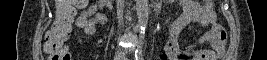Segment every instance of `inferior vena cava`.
Wrapping results in <instances>:
<instances>
[{"mask_svg": "<svg viewBox=\"0 0 267 60\" xmlns=\"http://www.w3.org/2000/svg\"><path fill=\"white\" fill-rule=\"evenodd\" d=\"M118 2L121 4V7L118 8L119 24L120 25H123V6H124V0H118Z\"/></svg>", "mask_w": 267, "mask_h": 60, "instance_id": "obj_1", "label": "inferior vena cava"}]
</instances>
